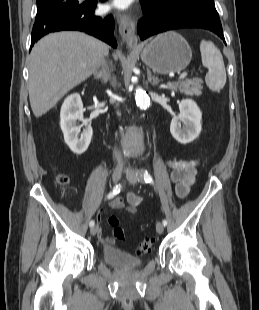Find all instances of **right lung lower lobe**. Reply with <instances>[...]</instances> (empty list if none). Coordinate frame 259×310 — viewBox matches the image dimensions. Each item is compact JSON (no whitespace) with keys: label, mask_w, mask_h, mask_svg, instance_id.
Masks as SVG:
<instances>
[{"label":"right lung lower lobe","mask_w":259,"mask_h":310,"mask_svg":"<svg viewBox=\"0 0 259 310\" xmlns=\"http://www.w3.org/2000/svg\"><path fill=\"white\" fill-rule=\"evenodd\" d=\"M95 8L96 3L84 2L76 8L51 10L36 16L31 47L44 35L61 30L84 31L116 47L113 16L109 15L105 18L95 16Z\"/></svg>","instance_id":"1"}]
</instances>
